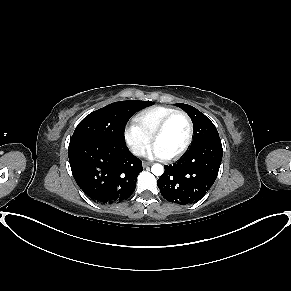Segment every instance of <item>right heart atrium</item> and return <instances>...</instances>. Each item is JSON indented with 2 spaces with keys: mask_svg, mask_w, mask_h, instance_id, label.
<instances>
[{
  "mask_svg": "<svg viewBox=\"0 0 291 291\" xmlns=\"http://www.w3.org/2000/svg\"><path fill=\"white\" fill-rule=\"evenodd\" d=\"M124 139L131 152L136 156H140L151 142V137L135 122L126 126Z\"/></svg>",
  "mask_w": 291,
  "mask_h": 291,
  "instance_id": "right-heart-atrium-1",
  "label": "right heart atrium"
}]
</instances>
